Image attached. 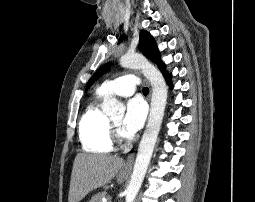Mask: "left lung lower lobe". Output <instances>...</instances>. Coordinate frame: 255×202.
Instances as JSON below:
<instances>
[{
    "label": "left lung lower lobe",
    "mask_w": 255,
    "mask_h": 202,
    "mask_svg": "<svg viewBox=\"0 0 255 202\" xmlns=\"http://www.w3.org/2000/svg\"><path fill=\"white\" fill-rule=\"evenodd\" d=\"M171 74L169 76L166 77V80L168 82V84L170 85V87H172V83H171Z\"/></svg>",
    "instance_id": "0a47b994"
}]
</instances>
